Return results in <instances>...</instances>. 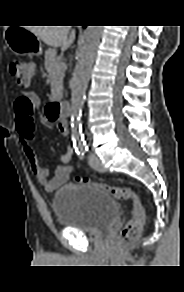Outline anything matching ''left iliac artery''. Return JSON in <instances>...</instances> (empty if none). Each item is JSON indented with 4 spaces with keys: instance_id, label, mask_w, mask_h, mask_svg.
<instances>
[{
    "instance_id": "obj_1",
    "label": "left iliac artery",
    "mask_w": 184,
    "mask_h": 292,
    "mask_svg": "<svg viewBox=\"0 0 184 292\" xmlns=\"http://www.w3.org/2000/svg\"><path fill=\"white\" fill-rule=\"evenodd\" d=\"M83 148H84L85 151H88V147L87 146H84Z\"/></svg>"
}]
</instances>
